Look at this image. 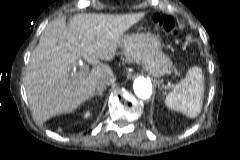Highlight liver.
<instances>
[{"label": "liver", "mask_w": 240, "mask_h": 160, "mask_svg": "<svg viewBox=\"0 0 240 160\" xmlns=\"http://www.w3.org/2000/svg\"><path fill=\"white\" fill-rule=\"evenodd\" d=\"M144 16L143 12L76 14L69 27L64 17L50 23L32 51L28 67L26 90L35 118L44 122L72 112L94 95L100 80L113 78L111 67L103 63L79 76L78 61L112 60L124 33Z\"/></svg>", "instance_id": "6515ba94"}]
</instances>
